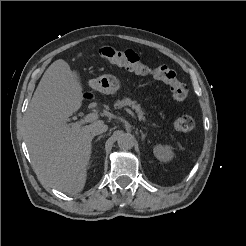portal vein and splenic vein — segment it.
<instances>
[{
    "label": "portal vein and splenic vein",
    "instance_id": "obj_1",
    "mask_svg": "<svg viewBox=\"0 0 246 246\" xmlns=\"http://www.w3.org/2000/svg\"><path fill=\"white\" fill-rule=\"evenodd\" d=\"M125 111L127 113H129L133 118H136L135 114L129 108H125ZM139 117L141 118L142 116H139ZM97 119H98V114L97 113H90V114L86 115L85 117H83L77 123H73V125H83V124H86V123L93 122V121H95Z\"/></svg>",
    "mask_w": 246,
    "mask_h": 246
}]
</instances>
